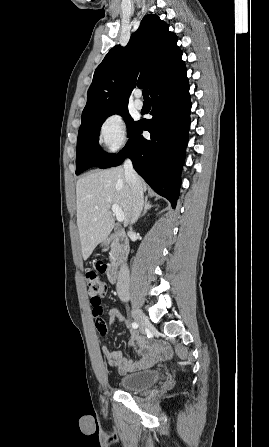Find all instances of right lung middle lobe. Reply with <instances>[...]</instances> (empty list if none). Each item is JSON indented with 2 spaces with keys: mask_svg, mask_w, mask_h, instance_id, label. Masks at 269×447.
Returning <instances> with one entry per match:
<instances>
[{
  "mask_svg": "<svg viewBox=\"0 0 269 447\" xmlns=\"http://www.w3.org/2000/svg\"><path fill=\"white\" fill-rule=\"evenodd\" d=\"M112 114L121 115L128 129V136L138 127L140 122H134L128 113L127 108L111 111L95 121L81 127L78 132L77 154H76V174H80L90 167H98L104 163L112 154L106 153L100 149L98 137L100 128L107 117Z\"/></svg>",
  "mask_w": 269,
  "mask_h": 447,
  "instance_id": "1",
  "label": "right lung middle lobe"
}]
</instances>
